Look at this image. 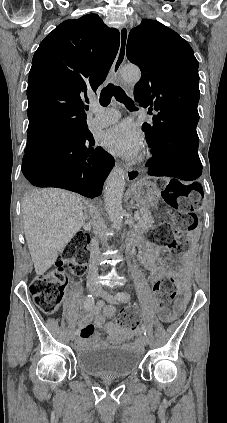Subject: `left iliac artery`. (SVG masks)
<instances>
[{
  "label": "left iliac artery",
  "instance_id": "obj_1",
  "mask_svg": "<svg viewBox=\"0 0 227 423\" xmlns=\"http://www.w3.org/2000/svg\"><path fill=\"white\" fill-rule=\"evenodd\" d=\"M116 299L117 300H119V301H121V302H126V301H128L129 299H130V296L126 293H117L116 294ZM141 330H142V332H143V334L145 335V336H147V329H146V327H145V325L144 324H141Z\"/></svg>",
  "mask_w": 227,
  "mask_h": 423
}]
</instances>
